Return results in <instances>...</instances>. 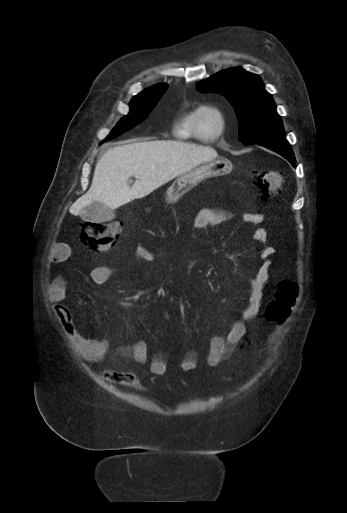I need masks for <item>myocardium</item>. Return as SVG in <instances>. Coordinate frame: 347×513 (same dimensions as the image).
<instances>
[{
    "instance_id": "myocardium-1",
    "label": "myocardium",
    "mask_w": 347,
    "mask_h": 513,
    "mask_svg": "<svg viewBox=\"0 0 347 513\" xmlns=\"http://www.w3.org/2000/svg\"><path fill=\"white\" fill-rule=\"evenodd\" d=\"M205 113L213 114L217 118L218 123H219V127L215 133H213L210 136H205L206 139H208V141H214V140L220 138L226 130V126H227L226 113L221 107H219L217 105L207 104V105L199 106L197 109V112H196L195 120H194V130L199 135H202L201 128H200V118Z\"/></svg>"
}]
</instances>
